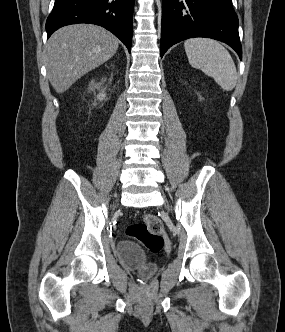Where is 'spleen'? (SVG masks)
<instances>
[{"label": "spleen", "instance_id": "3e777b00", "mask_svg": "<svg viewBox=\"0 0 285 332\" xmlns=\"http://www.w3.org/2000/svg\"><path fill=\"white\" fill-rule=\"evenodd\" d=\"M185 51L192 67L212 77L225 91L237 83L234 61L225 47L208 38H192L184 42Z\"/></svg>", "mask_w": 285, "mask_h": 332}]
</instances>
